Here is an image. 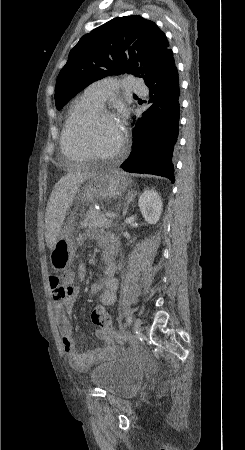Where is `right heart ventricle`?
<instances>
[{
  "mask_svg": "<svg viewBox=\"0 0 245 450\" xmlns=\"http://www.w3.org/2000/svg\"><path fill=\"white\" fill-rule=\"evenodd\" d=\"M99 108L84 93L73 100L61 132L60 147L63 155L75 161L89 159L82 144V133L87 118Z\"/></svg>",
  "mask_w": 245,
  "mask_h": 450,
  "instance_id": "right-heart-ventricle-1",
  "label": "right heart ventricle"
}]
</instances>
